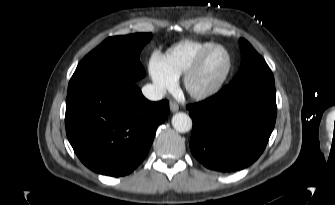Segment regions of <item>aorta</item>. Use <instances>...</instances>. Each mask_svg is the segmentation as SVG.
<instances>
[{
	"label": "aorta",
	"mask_w": 335,
	"mask_h": 205,
	"mask_svg": "<svg viewBox=\"0 0 335 205\" xmlns=\"http://www.w3.org/2000/svg\"><path fill=\"white\" fill-rule=\"evenodd\" d=\"M172 126L178 132H188L192 128V119L186 113H176L172 117Z\"/></svg>",
	"instance_id": "1"
}]
</instances>
